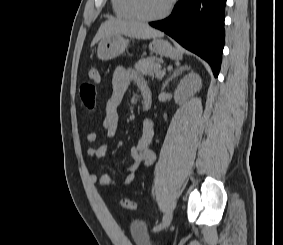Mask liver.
Returning <instances> with one entry per match:
<instances>
[{
  "label": "liver",
  "instance_id": "1",
  "mask_svg": "<svg viewBox=\"0 0 283 245\" xmlns=\"http://www.w3.org/2000/svg\"><path fill=\"white\" fill-rule=\"evenodd\" d=\"M112 34L125 35L136 39H149L163 36L162 32L153 29L144 23L120 19H109L100 26L93 41L91 42V47L104 37Z\"/></svg>",
  "mask_w": 283,
  "mask_h": 245
}]
</instances>
